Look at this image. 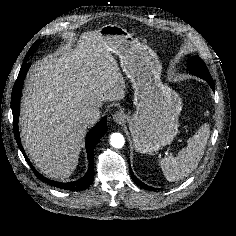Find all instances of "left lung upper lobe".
<instances>
[{
    "label": "left lung upper lobe",
    "mask_w": 236,
    "mask_h": 236,
    "mask_svg": "<svg viewBox=\"0 0 236 236\" xmlns=\"http://www.w3.org/2000/svg\"><path fill=\"white\" fill-rule=\"evenodd\" d=\"M189 69L191 73L199 77H211L205 63L198 56L190 59Z\"/></svg>",
    "instance_id": "1"
}]
</instances>
